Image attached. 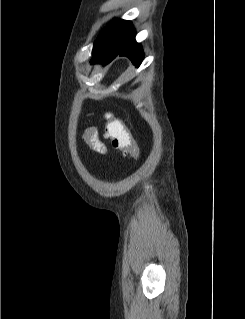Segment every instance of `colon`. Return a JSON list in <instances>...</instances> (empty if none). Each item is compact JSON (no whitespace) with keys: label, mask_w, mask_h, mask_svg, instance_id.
Returning <instances> with one entry per match:
<instances>
[{"label":"colon","mask_w":245,"mask_h":319,"mask_svg":"<svg viewBox=\"0 0 245 319\" xmlns=\"http://www.w3.org/2000/svg\"><path fill=\"white\" fill-rule=\"evenodd\" d=\"M104 136L111 141L114 149L131 157H137L139 148L129 128L119 119L106 117Z\"/></svg>","instance_id":"1"}]
</instances>
